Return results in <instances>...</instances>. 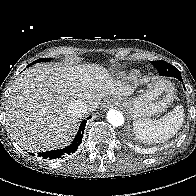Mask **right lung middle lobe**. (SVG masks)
Returning <instances> with one entry per match:
<instances>
[{"mask_svg": "<svg viewBox=\"0 0 196 196\" xmlns=\"http://www.w3.org/2000/svg\"><path fill=\"white\" fill-rule=\"evenodd\" d=\"M50 60H51V58H41V59H37L36 61L31 63L30 65H33V64L38 63V62H48ZM30 65H28V66H30Z\"/></svg>", "mask_w": 196, "mask_h": 196, "instance_id": "1", "label": "right lung middle lobe"}]
</instances>
